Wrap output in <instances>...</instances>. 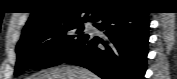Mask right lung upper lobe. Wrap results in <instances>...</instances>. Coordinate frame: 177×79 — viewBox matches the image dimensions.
<instances>
[{
	"label": "right lung upper lobe",
	"instance_id": "right-lung-upper-lobe-1",
	"mask_svg": "<svg viewBox=\"0 0 177 79\" xmlns=\"http://www.w3.org/2000/svg\"><path fill=\"white\" fill-rule=\"evenodd\" d=\"M112 6L111 4H92L83 18L80 14L87 10L81 0H39L34 3L31 16L26 23L22 37L39 29L63 25L76 21H91L101 10ZM88 14H91L88 16Z\"/></svg>",
	"mask_w": 177,
	"mask_h": 79
}]
</instances>
